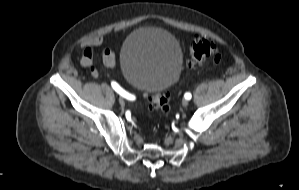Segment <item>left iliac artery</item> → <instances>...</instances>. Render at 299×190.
Here are the masks:
<instances>
[{"instance_id": "44dca946", "label": "left iliac artery", "mask_w": 299, "mask_h": 190, "mask_svg": "<svg viewBox=\"0 0 299 190\" xmlns=\"http://www.w3.org/2000/svg\"><path fill=\"white\" fill-rule=\"evenodd\" d=\"M184 97H185V99L190 100L192 95H191V93L187 92V93H185Z\"/></svg>"}]
</instances>
